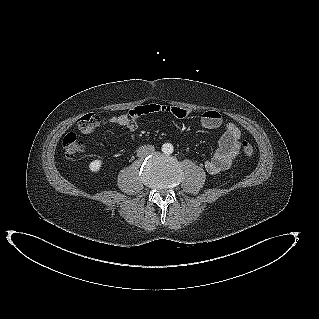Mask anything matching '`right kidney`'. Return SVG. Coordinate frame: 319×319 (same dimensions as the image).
Listing matches in <instances>:
<instances>
[{"label":"right kidney","mask_w":319,"mask_h":319,"mask_svg":"<svg viewBox=\"0 0 319 319\" xmlns=\"http://www.w3.org/2000/svg\"><path fill=\"white\" fill-rule=\"evenodd\" d=\"M102 166V161L99 159L93 160L89 164V169L91 172L97 173Z\"/></svg>","instance_id":"obj_1"}]
</instances>
